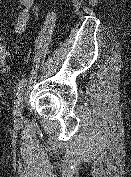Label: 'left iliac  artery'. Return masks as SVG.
Returning <instances> with one entry per match:
<instances>
[{"label":"left iliac artery","mask_w":131,"mask_h":177,"mask_svg":"<svg viewBox=\"0 0 131 177\" xmlns=\"http://www.w3.org/2000/svg\"><path fill=\"white\" fill-rule=\"evenodd\" d=\"M26 83H27V79H26V78H23V79H21V80L18 82V84H17V86H16V88H17V95H18V96L21 95V92L23 91V89H24Z\"/></svg>","instance_id":"44dca946"}]
</instances>
